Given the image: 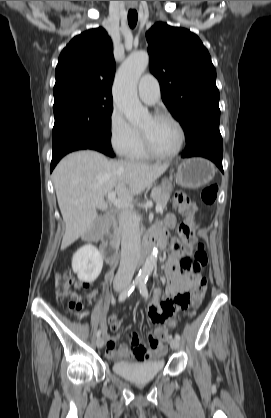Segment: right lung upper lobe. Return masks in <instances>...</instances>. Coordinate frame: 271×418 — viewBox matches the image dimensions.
<instances>
[{
    "label": "right lung upper lobe",
    "mask_w": 271,
    "mask_h": 418,
    "mask_svg": "<svg viewBox=\"0 0 271 418\" xmlns=\"http://www.w3.org/2000/svg\"><path fill=\"white\" fill-rule=\"evenodd\" d=\"M115 68L112 42L103 28L74 37L58 59L55 101L72 97L112 98Z\"/></svg>",
    "instance_id": "cb5924a9"
}]
</instances>
